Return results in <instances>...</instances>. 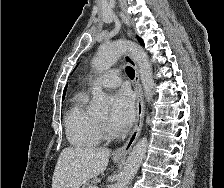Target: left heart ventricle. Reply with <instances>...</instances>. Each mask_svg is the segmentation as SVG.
Listing matches in <instances>:
<instances>
[{
  "mask_svg": "<svg viewBox=\"0 0 224 188\" xmlns=\"http://www.w3.org/2000/svg\"><path fill=\"white\" fill-rule=\"evenodd\" d=\"M99 118H100L101 120H105V121H106V119H107V114L101 115V116H99Z\"/></svg>",
  "mask_w": 224,
  "mask_h": 188,
  "instance_id": "obj_1",
  "label": "left heart ventricle"
}]
</instances>
